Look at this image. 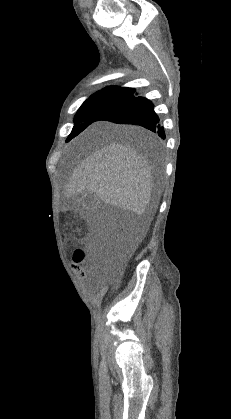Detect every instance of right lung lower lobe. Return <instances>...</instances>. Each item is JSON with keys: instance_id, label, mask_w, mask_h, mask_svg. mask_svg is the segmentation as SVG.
I'll use <instances>...</instances> for the list:
<instances>
[{"instance_id": "right-lung-lower-lobe-1", "label": "right lung lower lobe", "mask_w": 231, "mask_h": 419, "mask_svg": "<svg viewBox=\"0 0 231 419\" xmlns=\"http://www.w3.org/2000/svg\"><path fill=\"white\" fill-rule=\"evenodd\" d=\"M153 103L144 98L133 95L121 104L110 109L99 117V120H107L115 123L140 125L157 133L165 139V132L160 126L159 117L154 112Z\"/></svg>"}]
</instances>
